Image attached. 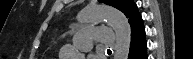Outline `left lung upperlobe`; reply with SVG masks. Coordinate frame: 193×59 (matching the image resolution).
Returning <instances> with one entry per match:
<instances>
[{
	"mask_svg": "<svg viewBox=\"0 0 193 59\" xmlns=\"http://www.w3.org/2000/svg\"><path fill=\"white\" fill-rule=\"evenodd\" d=\"M99 2L111 5L120 11H122L127 18H130V16L138 11L136 4L133 2V0H99Z\"/></svg>",
	"mask_w": 193,
	"mask_h": 59,
	"instance_id": "left-lung-upper-lobe-1",
	"label": "left lung upper lobe"
}]
</instances>
